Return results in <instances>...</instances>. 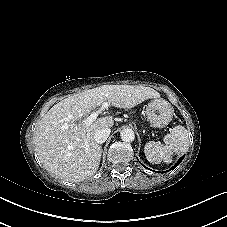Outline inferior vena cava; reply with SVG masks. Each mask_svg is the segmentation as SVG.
Returning <instances> with one entry per match:
<instances>
[{"label":"inferior vena cava","mask_w":227,"mask_h":227,"mask_svg":"<svg viewBox=\"0 0 227 227\" xmlns=\"http://www.w3.org/2000/svg\"><path fill=\"white\" fill-rule=\"evenodd\" d=\"M110 132H111L110 128L99 129L94 134V140L98 144H102L107 140L108 136L110 135Z\"/></svg>","instance_id":"inferior-vena-cava-1"}]
</instances>
